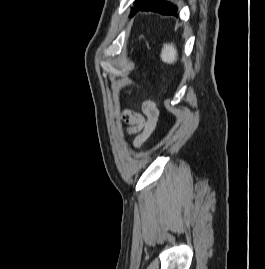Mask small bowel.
<instances>
[{
    "label": "small bowel",
    "mask_w": 265,
    "mask_h": 269,
    "mask_svg": "<svg viewBox=\"0 0 265 269\" xmlns=\"http://www.w3.org/2000/svg\"><path fill=\"white\" fill-rule=\"evenodd\" d=\"M142 109L146 116L145 119L135 112H125V117L128 121L137 122L140 125V131L134 139L135 146H141L149 138L159 118V110L153 101H145Z\"/></svg>",
    "instance_id": "1"
}]
</instances>
